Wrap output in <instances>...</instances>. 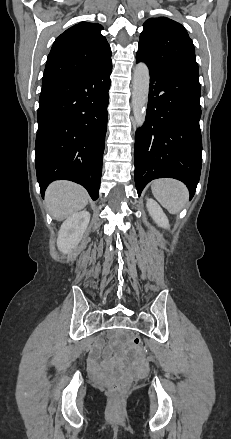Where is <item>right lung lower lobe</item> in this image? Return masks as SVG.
Returning a JSON list of instances; mask_svg holds the SVG:
<instances>
[{"mask_svg":"<svg viewBox=\"0 0 231 439\" xmlns=\"http://www.w3.org/2000/svg\"><path fill=\"white\" fill-rule=\"evenodd\" d=\"M112 61L83 77L42 85L37 113L36 173L42 197L66 179L99 197Z\"/></svg>","mask_w":231,"mask_h":439,"instance_id":"obj_1","label":"right lung lower lobe"}]
</instances>
